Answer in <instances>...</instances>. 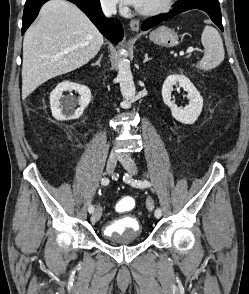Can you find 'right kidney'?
Segmentation results:
<instances>
[{"label": "right kidney", "mask_w": 249, "mask_h": 294, "mask_svg": "<svg viewBox=\"0 0 249 294\" xmlns=\"http://www.w3.org/2000/svg\"><path fill=\"white\" fill-rule=\"evenodd\" d=\"M79 93V107L75 109L76 100L72 97L62 96L64 91ZM91 101V91L85 85L64 81L59 83L50 94V108L52 115L57 120H71L79 118Z\"/></svg>", "instance_id": "ca27d5eb"}]
</instances>
